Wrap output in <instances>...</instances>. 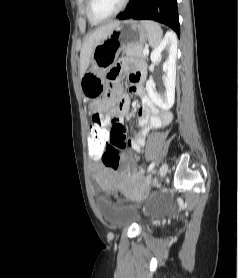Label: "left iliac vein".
Masks as SVG:
<instances>
[{
	"label": "left iliac vein",
	"instance_id": "obj_1",
	"mask_svg": "<svg viewBox=\"0 0 238 278\" xmlns=\"http://www.w3.org/2000/svg\"><path fill=\"white\" fill-rule=\"evenodd\" d=\"M168 171V165L167 163H163L159 169V176L162 178L166 175ZM155 185H158V183H155Z\"/></svg>",
	"mask_w": 238,
	"mask_h": 278
}]
</instances>
